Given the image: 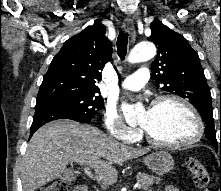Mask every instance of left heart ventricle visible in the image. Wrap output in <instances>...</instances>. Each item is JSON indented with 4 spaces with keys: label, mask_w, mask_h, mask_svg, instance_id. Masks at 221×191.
Segmentation results:
<instances>
[{
    "label": "left heart ventricle",
    "mask_w": 221,
    "mask_h": 191,
    "mask_svg": "<svg viewBox=\"0 0 221 191\" xmlns=\"http://www.w3.org/2000/svg\"><path fill=\"white\" fill-rule=\"evenodd\" d=\"M140 126L154 138L180 143L196 133V122L191 113L175 101H166L141 115Z\"/></svg>",
    "instance_id": "obj_1"
}]
</instances>
